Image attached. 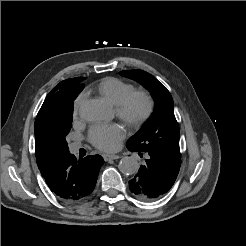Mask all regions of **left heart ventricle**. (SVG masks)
Listing matches in <instances>:
<instances>
[{
  "instance_id": "left-heart-ventricle-1",
  "label": "left heart ventricle",
  "mask_w": 246,
  "mask_h": 246,
  "mask_svg": "<svg viewBox=\"0 0 246 246\" xmlns=\"http://www.w3.org/2000/svg\"><path fill=\"white\" fill-rule=\"evenodd\" d=\"M142 107H143V105L141 102L136 103V105L134 106V109H133L134 113H139L142 110Z\"/></svg>"
}]
</instances>
